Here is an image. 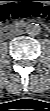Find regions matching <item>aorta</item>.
Instances as JSON below:
<instances>
[{
	"label": "aorta",
	"mask_w": 50,
	"mask_h": 111,
	"mask_svg": "<svg viewBox=\"0 0 50 111\" xmlns=\"http://www.w3.org/2000/svg\"><path fill=\"white\" fill-rule=\"evenodd\" d=\"M40 30H41L40 25L37 23H30V24H28V26L26 28L27 33L30 35L39 34Z\"/></svg>",
	"instance_id": "aorta-1"
}]
</instances>
